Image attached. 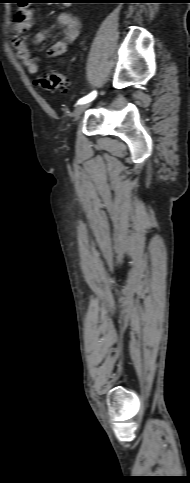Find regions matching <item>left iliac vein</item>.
<instances>
[{
	"instance_id": "obj_1",
	"label": "left iliac vein",
	"mask_w": 190,
	"mask_h": 483,
	"mask_svg": "<svg viewBox=\"0 0 190 483\" xmlns=\"http://www.w3.org/2000/svg\"><path fill=\"white\" fill-rule=\"evenodd\" d=\"M91 105V102L80 104L74 110V117L79 118L80 115Z\"/></svg>"
}]
</instances>
